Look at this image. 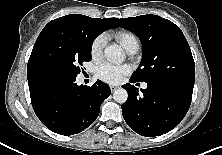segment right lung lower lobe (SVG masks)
<instances>
[{"mask_svg":"<svg viewBox=\"0 0 222 155\" xmlns=\"http://www.w3.org/2000/svg\"><path fill=\"white\" fill-rule=\"evenodd\" d=\"M76 78L52 80L47 97L30 95L33 109L40 121L61 135L77 134L98 117L101 103L111 94L108 85L78 86Z\"/></svg>","mask_w":222,"mask_h":155,"instance_id":"right-lung-lower-lobe-1","label":"right lung lower lobe"}]
</instances>
